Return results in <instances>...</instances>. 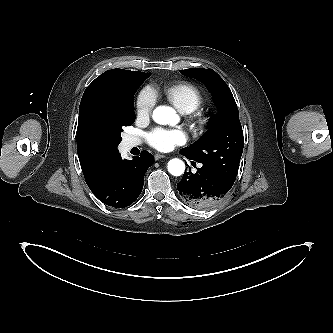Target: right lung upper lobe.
Instances as JSON below:
<instances>
[{
	"mask_svg": "<svg viewBox=\"0 0 333 333\" xmlns=\"http://www.w3.org/2000/svg\"><path fill=\"white\" fill-rule=\"evenodd\" d=\"M144 72L112 69L97 77L85 90L79 106L77 151L85 180L93 188L119 153H107L96 142V132L104 115V105L124 95Z\"/></svg>",
	"mask_w": 333,
	"mask_h": 333,
	"instance_id": "obj_1",
	"label": "right lung upper lobe"
}]
</instances>
